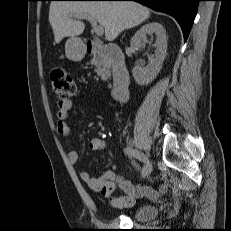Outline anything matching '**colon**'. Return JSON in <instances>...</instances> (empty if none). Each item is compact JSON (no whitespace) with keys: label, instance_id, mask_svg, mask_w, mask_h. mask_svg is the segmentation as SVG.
Instances as JSON below:
<instances>
[{"label":"colon","instance_id":"1","mask_svg":"<svg viewBox=\"0 0 231 231\" xmlns=\"http://www.w3.org/2000/svg\"><path fill=\"white\" fill-rule=\"evenodd\" d=\"M50 78L53 93L60 100H70L78 95L76 81L64 68H53L50 73Z\"/></svg>","mask_w":231,"mask_h":231}]
</instances>
